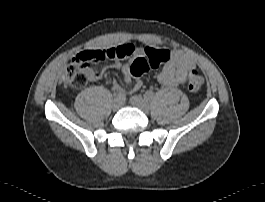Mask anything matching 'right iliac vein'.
Wrapping results in <instances>:
<instances>
[{
	"label": "right iliac vein",
	"mask_w": 265,
	"mask_h": 202,
	"mask_svg": "<svg viewBox=\"0 0 265 202\" xmlns=\"http://www.w3.org/2000/svg\"><path fill=\"white\" fill-rule=\"evenodd\" d=\"M122 106V100L115 98L112 102V108L114 111H117Z\"/></svg>",
	"instance_id": "right-iliac-vein-1"
}]
</instances>
